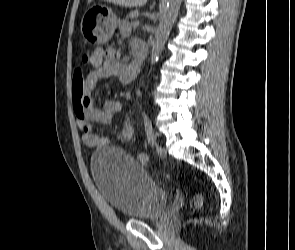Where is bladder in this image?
Returning <instances> with one entry per match:
<instances>
[{"label": "bladder", "mask_w": 295, "mask_h": 250, "mask_svg": "<svg viewBox=\"0 0 295 250\" xmlns=\"http://www.w3.org/2000/svg\"><path fill=\"white\" fill-rule=\"evenodd\" d=\"M94 183L105 201L128 219H157L166 209L169 194L132 158L116 147L92 154Z\"/></svg>", "instance_id": "bladder-1"}]
</instances>
